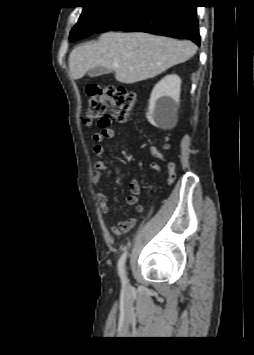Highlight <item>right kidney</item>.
<instances>
[{
	"mask_svg": "<svg viewBox=\"0 0 254 355\" xmlns=\"http://www.w3.org/2000/svg\"><path fill=\"white\" fill-rule=\"evenodd\" d=\"M180 87L181 79L174 74L164 77L155 85L146 114L153 126L170 127L176 122Z\"/></svg>",
	"mask_w": 254,
	"mask_h": 355,
	"instance_id": "obj_1",
	"label": "right kidney"
}]
</instances>
